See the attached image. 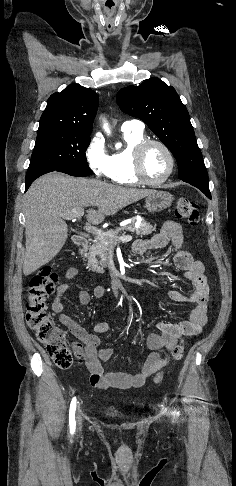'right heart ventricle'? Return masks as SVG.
Segmentation results:
<instances>
[{
	"label": "right heart ventricle",
	"mask_w": 236,
	"mask_h": 486,
	"mask_svg": "<svg viewBox=\"0 0 236 486\" xmlns=\"http://www.w3.org/2000/svg\"><path fill=\"white\" fill-rule=\"evenodd\" d=\"M125 146L110 155V179L120 185L135 186L140 182L135 177L132 163L134 147L145 138L143 131L122 130Z\"/></svg>",
	"instance_id": "1"
}]
</instances>
